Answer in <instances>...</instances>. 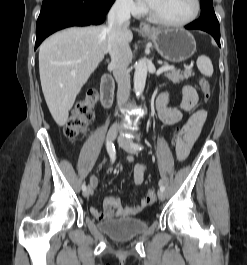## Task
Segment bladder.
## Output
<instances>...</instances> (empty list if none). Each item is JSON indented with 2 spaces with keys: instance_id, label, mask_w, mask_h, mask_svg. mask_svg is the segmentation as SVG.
I'll return each mask as SVG.
<instances>
[{
  "instance_id": "obj_1",
  "label": "bladder",
  "mask_w": 247,
  "mask_h": 265,
  "mask_svg": "<svg viewBox=\"0 0 247 265\" xmlns=\"http://www.w3.org/2000/svg\"><path fill=\"white\" fill-rule=\"evenodd\" d=\"M98 227L110 238L126 241L145 232L148 223L139 218H121L100 221Z\"/></svg>"
}]
</instances>
